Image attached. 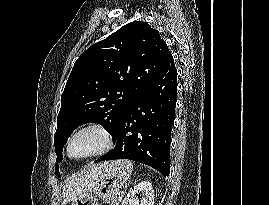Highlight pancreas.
I'll list each match as a JSON object with an SVG mask.
<instances>
[{
    "mask_svg": "<svg viewBox=\"0 0 269 205\" xmlns=\"http://www.w3.org/2000/svg\"><path fill=\"white\" fill-rule=\"evenodd\" d=\"M120 200H121V199H120V197H118V198H117V200H116V202H115V203H113V204H111V205H119Z\"/></svg>",
    "mask_w": 269,
    "mask_h": 205,
    "instance_id": "1",
    "label": "pancreas"
}]
</instances>
